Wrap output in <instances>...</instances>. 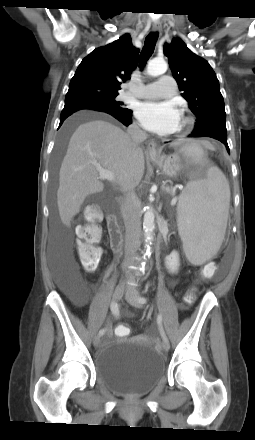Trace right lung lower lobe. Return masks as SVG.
Masks as SVG:
<instances>
[{
  "mask_svg": "<svg viewBox=\"0 0 255 440\" xmlns=\"http://www.w3.org/2000/svg\"><path fill=\"white\" fill-rule=\"evenodd\" d=\"M79 110H95V111L108 113L113 117H115L120 122H122L125 126H128L132 122L131 120L132 111L129 109L117 110L115 108L106 106L104 104L87 102V101H77L72 103H65L64 109L62 110L60 116V126L68 116L72 115L73 113Z\"/></svg>",
  "mask_w": 255,
  "mask_h": 440,
  "instance_id": "1",
  "label": "right lung lower lobe"
}]
</instances>
